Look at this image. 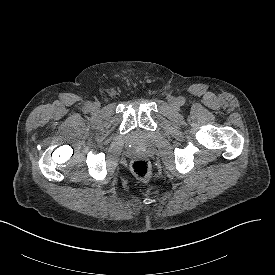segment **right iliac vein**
<instances>
[{"mask_svg": "<svg viewBox=\"0 0 275 275\" xmlns=\"http://www.w3.org/2000/svg\"><path fill=\"white\" fill-rule=\"evenodd\" d=\"M98 109H99V104H97V103L91 104V110L93 112H96Z\"/></svg>", "mask_w": 275, "mask_h": 275, "instance_id": "obj_1", "label": "right iliac vein"}]
</instances>
